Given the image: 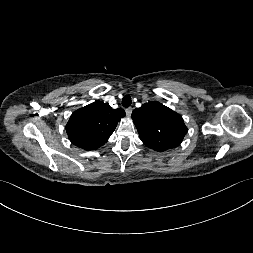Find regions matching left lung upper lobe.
Segmentation results:
<instances>
[{"mask_svg": "<svg viewBox=\"0 0 253 253\" xmlns=\"http://www.w3.org/2000/svg\"><path fill=\"white\" fill-rule=\"evenodd\" d=\"M132 119L141 141L159 152L180 145L187 133L182 117L159 102H148L136 108Z\"/></svg>", "mask_w": 253, "mask_h": 253, "instance_id": "obj_1", "label": "left lung upper lobe"}]
</instances>
